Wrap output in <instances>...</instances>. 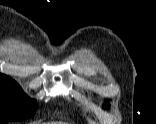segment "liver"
I'll list each match as a JSON object with an SVG mask.
<instances>
[{"mask_svg":"<svg viewBox=\"0 0 156 124\" xmlns=\"http://www.w3.org/2000/svg\"><path fill=\"white\" fill-rule=\"evenodd\" d=\"M47 124H67V123L61 122V121H60V122L57 121V122H49V123H47Z\"/></svg>","mask_w":156,"mask_h":124,"instance_id":"liver-1","label":"liver"}]
</instances>
